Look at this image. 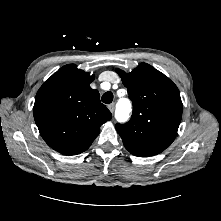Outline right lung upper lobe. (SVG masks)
<instances>
[{
  "mask_svg": "<svg viewBox=\"0 0 221 221\" xmlns=\"http://www.w3.org/2000/svg\"><path fill=\"white\" fill-rule=\"evenodd\" d=\"M94 75L75 64L54 73L39 89L33 108L34 119L45 142L65 155L87 150L111 119V112L90 87Z\"/></svg>",
  "mask_w": 221,
  "mask_h": 221,
  "instance_id": "cb5924a9",
  "label": "right lung upper lobe"
}]
</instances>
